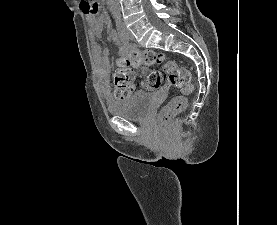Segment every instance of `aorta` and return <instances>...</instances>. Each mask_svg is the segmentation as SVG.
Returning <instances> with one entry per match:
<instances>
[{
    "label": "aorta",
    "instance_id": "aorta-1",
    "mask_svg": "<svg viewBox=\"0 0 277 225\" xmlns=\"http://www.w3.org/2000/svg\"><path fill=\"white\" fill-rule=\"evenodd\" d=\"M110 11L112 12L113 16L116 19L120 18V13H121V9H120V5H119V0H107Z\"/></svg>",
    "mask_w": 277,
    "mask_h": 225
}]
</instances>
